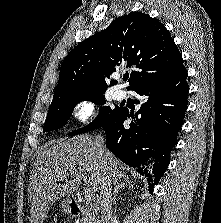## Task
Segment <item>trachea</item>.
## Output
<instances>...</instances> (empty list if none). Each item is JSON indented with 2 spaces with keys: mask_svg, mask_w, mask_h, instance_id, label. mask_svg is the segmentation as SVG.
<instances>
[{
  "mask_svg": "<svg viewBox=\"0 0 221 223\" xmlns=\"http://www.w3.org/2000/svg\"><path fill=\"white\" fill-rule=\"evenodd\" d=\"M127 79H128V75H125V76L123 77V80L126 81Z\"/></svg>",
  "mask_w": 221,
  "mask_h": 223,
  "instance_id": "obj_1",
  "label": "trachea"
}]
</instances>
